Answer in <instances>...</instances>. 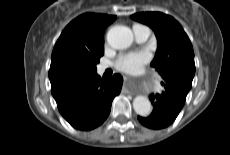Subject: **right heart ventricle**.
Wrapping results in <instances>:
<instances>
[{
	"mask_svg": "<svg viewBox=\"0 0 230 155\" xmlns=\"http://www.w3.org/2000/svg\"><path fill=\"white\" fill-rule=\"evenodd\" d=\"M137 26H141V25L136 24V25L133 26V28H134V27H137Z\"/></svg>",
	"mask_w": 230,
	"mask_h": 155,
	"instance_id": "1",
	"label": "right heart ventricle"
}]
</instances>
